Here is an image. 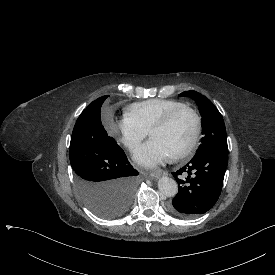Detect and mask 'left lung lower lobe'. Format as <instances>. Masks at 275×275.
I'll use <instances>...</instances> for the list:
<instances>
[{
    "mask_svg": "<svg viewBox=\"0 0 275 275\" xmlns=\"http://www.w3.org/2000/svg\"><path fill=\"white\" fill-rule=\"evenodd\" d=\"M228 164V149L216 148L203 152L173 176L177 180L179 192L169 205L172 215L192 218L210 210L217 202ZM188 174L186 181L178 178Z\"/></svg>",
    "mask_w": 275,
    "mask_h": 275,
    "instance_id": "obj_1",
    "label": "left lung lower lobe"
}]
</instances>
